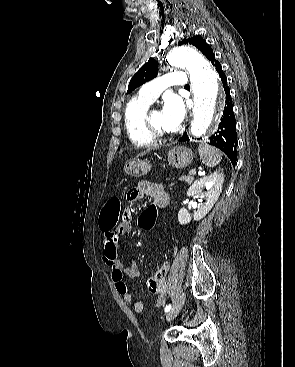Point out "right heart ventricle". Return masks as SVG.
<instances>
[{"label": "right heart ventricle", "instance_id": "e07e8e85", "mask_svg": "<svg viewBox=\"0 0 295 367\" xmlns=\"http://www.w3.org/2000/svg\"><path fill=\"white\" fill-rule=\"evenodd\" d=\"M151 102L138 97L132 98L124 111V124L127 135L132 143L138 147H148L155 140L148 134L144 118Z\"/></svg>", "mask_w": 295, "mask_h": 367}]
</instances>
